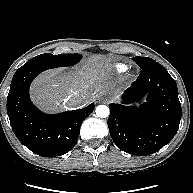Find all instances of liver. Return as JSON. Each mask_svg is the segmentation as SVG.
Here are the masks:
<instances>
[{
    "instance_id": "6515ba94",
    "label": "liver",
    "mask_w": 193,
    "mask_h": 193,
    "mask_svg": "<svg viewBox=\"0 0 193 193\" xmlns=\"http://www.w3.org/2000/svg\"><path fill=\"white\" fill-rule=\"evenodd\" d=\"M109 59L103 56L90 58L74 71L48 70L40 74L31 85V99L42 110L57 111L70 95L79 94L86 104L98 93H107L112 87Z\"/></svg>"
}]
</instances>
